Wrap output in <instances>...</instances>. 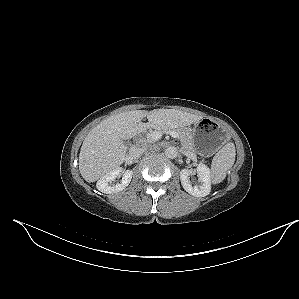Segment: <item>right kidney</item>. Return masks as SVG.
I'll use <instances>...</instances> for the list:
<instances>
[{
  "label": "right kidney",
  "instance_id": "right-kidney-1",
  "mask_svg": "<svg viewBox=\"0 0 299 299\" xmlns=\"http://www.w3.org/2000/svg\"><path fill=\"white\" fill-rule=\"evenodd\" d=\"M133 172L132 170H124L120 167L110 171L109 173L102 176L96 184V187L99 191L106 194H113L122 191L125 189L131 182ZM122 176L120 183L116 185L112 184V181L118 177Z\"/></svg>",
  "mask_w": 299,
  "mask_h": 299
}]
</instances>
